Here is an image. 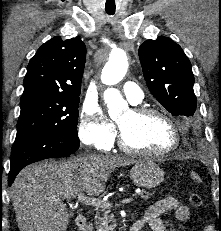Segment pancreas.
I'll return each mask as SVG.
<instances>
[{
	"instance_id": "1",
	"label": "pancreas",
	"mask_w": 221,
	"mask_h": 231,
	"mask_svg": "<svg viewBox=\"0 0 221 231\" xmlns=\"http://www.w3.org/2000/svg\"><path fill=\"white\" fill-rule=\"evenodd\" d=\"M152 195H153L152 193L146 191H142L140 193L141 198H143L144 200H148ZM95 219H96L95 221L96 231H114L116 225L115 224L109 225L110 223H114V218L113 215L110 214L109 208L103 207L101 209V214L98 213Z\"/></svg>"
}]
</instances>
